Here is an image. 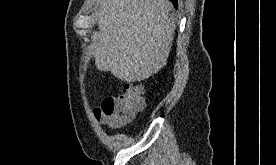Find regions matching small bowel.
<instances>
[{"label": "small bowel", "mask_w": 276, "mask_h": 165, "mask_svg": "<svg viewBox=\"0 0 276 165\" xmlns=\"http://www.w3.org/2000/svg\"><path fill=\"white\" fill-rule=\"evenodd\" d=\"M94 115L102 123H105V124H109L110 123V120L108 118H105V117L102 116V114H101V106L98 107V108H96L94 110Z\"/></svg>", "instance_id": "obj_1"}]
</instances>
